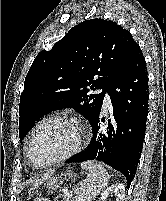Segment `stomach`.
I'll list each match as a JSON object with an SVG mask.
<instances>
[{"label":"stomach","mask_w":166,"mask_h":201,"mask_svg":"<svg viewBox=\"0 0 166 201\" xmlns=\"http://www.w3.org/2000/svg\"><path fill=\"white\" fill-rule=\"evenodd\" d=\"M71 178H73V174L70 172L63 174V175L55 176L53 178H50V180L47 182L46 187L49 190H57L61 187V185L65 179H71Z\"/></svg>","instance_id":"0dacf381"}]
</instances>
